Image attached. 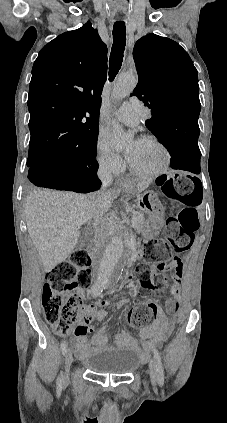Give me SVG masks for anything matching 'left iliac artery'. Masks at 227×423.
<instances>
[{
	"instance_id": "obj_1",
	"label": "left iliac artery",
	"mask_w": 227,
	"mask_h": 423,
	"mask_svg": "<svg viewBox=\"0 0 227 423\" xmlns=\"http://www.w3.org/2000/svg\"><path fill=\"white\" fill-rule=\"evenodd\" d=\"M153 355L156 362V369H157V381L160 386H163L164 384V373H163V367L161 363V356L159 352L156 349H153Z\"/></svg>"
}]
</instances>
